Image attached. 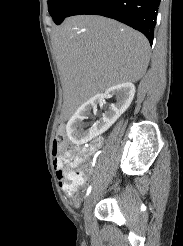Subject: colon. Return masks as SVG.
Segmentation results:
<instances>
[{
    "label": "colon",
    "instance_id": "obj_1",
    "mask_svg": "<svg viewBox=\"0 0 183 246\" xmlns=\"http://www.w3.org/2000/svg\"><path fill=\"white\" fill-rule=\"evenodd\" d=\"M67 149V139H66V128L64 125L60 124L55 130V136L53 141V152L54 155H62ZM83 176L78 172L68 173L69 188L72 194H75L78 187L81 184Z\"/></svg>",
    "mask_w": 183,
    "mask_h": 246
}]
</instances>
